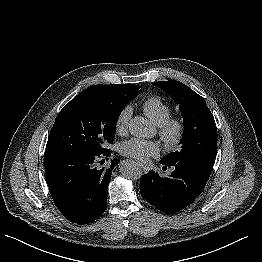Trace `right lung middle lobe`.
<instances>
[{
  "mask_svg": "<svg viewBox=\"0 0 262 262\" xmlns=\"http://www.w3.org/2000/svg\"><path fill=\"white\" fill-rule=\"evenodd\" d=\"M139 86L112 95L87 88L58 114L46 150L103 153L115 138L116 123L126 104L139 94Z\"/></svg>",
  "mask_w": 262,
  "mask_h": 262,
  "instance_id": "1",
  "label": "right lung middle lobe"
}]
</instances>
